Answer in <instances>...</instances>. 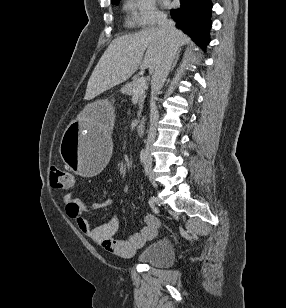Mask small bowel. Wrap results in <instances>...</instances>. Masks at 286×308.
<instances>
[{
	"label": "small bowel",
	"mask_w": 286,
	"mask_h": 308,
	"mask_svg": "<svg viewBox=\"0 0 286 308\" xmlns=\"http://www.w3.org/2000/svg\"><path fill=\"white\" fill-rule=\"evenodd\" d=\"M63 201L67 216L74 221L78 229L102 249L119 257L133 256L147 241L155 238L160 226L159 218L149 213L144 217V226L138 232L124 239H116L114 235L118 230L119 221L115 214H112L106 223L96 227H92L84 216L86 212L113 208V199L107 198L101 202L86 204L76 199L73 194L67 193L63 196Z\"/></svg>",
	"instance_id": "obj_1"
}]
</instances>
